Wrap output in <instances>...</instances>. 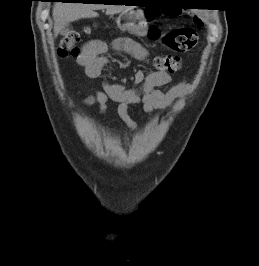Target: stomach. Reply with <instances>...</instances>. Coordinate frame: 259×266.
I'll return each mask as SVG.
<instances>
[{"label": "stomach", "instance_id": "0dacf381", "mask_svg": "<svg viewBox=\"0 0 259 266\" xmlns=\"http://www.w3.org/2000/svg\"><path fill=\"white\" fill-rule=\"evenodd\" d=\"M117 25L120 30L129 31L136 35H145L147 31L143 15L135 9L122 12L117 18Z\"/></svg>", "mask_w": 259, "mask_h": 266}]
</instances>
